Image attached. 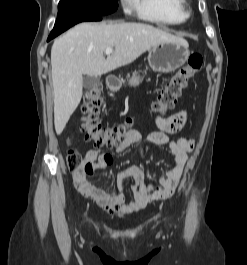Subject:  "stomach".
<instances>
[{
	"mask_svg": "<svg viewBox=\"0 0 247 265\" xmlns=\"http://www.w3.org/2000/svg\"><path fill=\"white\" fill-rule=\"evenodd\" d=\"M189 57L188 43L184 41L163 42L151 48L148 55L150 67L155 72L169 73L181 67ZM142 78L140 75L133 74L129 80L131 86H137ZM111 91H118V85H110Z\"/></svg>",
	"mask_w": 247,
	"mask_h": 265,
	"instance_id": "0dacf381",
	"label": "stomach"
}]
</instances>
